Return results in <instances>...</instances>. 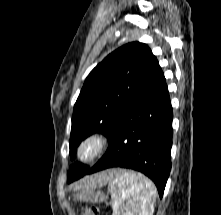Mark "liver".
<instances>
[{
    "label": "liver",
    "mask_w": 221,
    "mask_h": 215,
    "mask_svg": "<svg viewBox=\"0 0 221 215\" xmlns=\"http://www.w3.org/2000/svg\"><path fill=\"white\" fill-rule=\"evenodd\" d=\"M117 172L118 171L116 170H108L95 174L93 176L81 180L78 184L73 185V187L76 190L100 187L110 182Z\"/></svg>",
    "instance_id": "liver-1"
}]
</instances>
